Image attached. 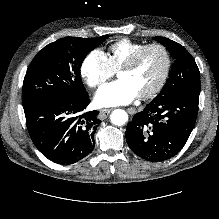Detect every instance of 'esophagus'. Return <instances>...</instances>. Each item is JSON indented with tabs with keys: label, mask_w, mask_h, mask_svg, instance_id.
<instances>
[{
	"label": "esophagus",
	"mask_w": 219,
	"mask_h": 219,
	"mask_svg": "<svg viewBox=\"0 0 219 219\" xmlns=\"http://www.w3.org/2000/svg\"><path fill=\"white\" fill-rule=\"evenodd\" d=\"M112 109H101L99 113V118L101 120H104L108 117V115L111 113Z\"/></svg>",
	"instance_id": "esophagus-1"
}]
</instances>
